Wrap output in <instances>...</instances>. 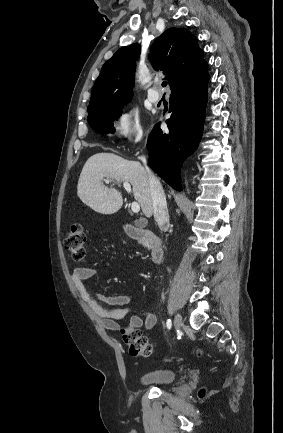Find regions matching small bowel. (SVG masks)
<instances>
[{"instance_id":"1","label":"small bowel","mask_w":283,"mask_h":433,"mask_svg":"<svg viewBox=\"0 0 283 433\" xmlns=\"http://www.w3.org/2000/svg\"><path fill=\"white\" fill-rule=\"evenodd\" d=\"M96 273L97 270L91 267H77L72 270L71 279L81 298L103 318L105 327L116 331L119 329V325L116 321L124 318L133 311L132 303L135 299L134 295L124 294L109 296L103 293H98L97 299L104 302L109 307L102 306L92 297L91 293L84 285V281L93 277ZM156 321L157 318L153 312L143 310L130 317L129 327L139 329L144 326V328L149 331L154 328Z\"/></svg>"}]
</instances>
